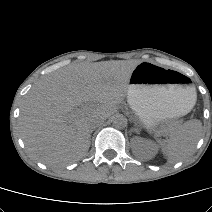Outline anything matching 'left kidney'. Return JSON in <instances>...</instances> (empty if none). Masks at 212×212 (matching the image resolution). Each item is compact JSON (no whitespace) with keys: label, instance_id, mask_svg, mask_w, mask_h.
<instances>
[{"label":"left kidney","instance_id":"5707ae66","mask_svg":"<svg viewBox=\"0 0 212 212\" xmlns=\"http://www.w3.org/2000/svg\"><path fill=\"white\" fill-rule=\"evenodd\" d=\"M132 141L136 144L135 154L142 159H149L157 152V146L152 141L140 137H135Z\"/></svg>","mask_w":212,"mask_h":212}]
</instances>
